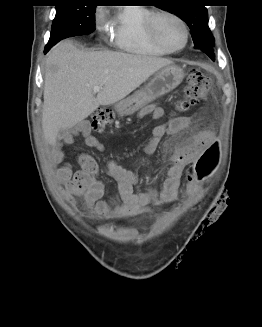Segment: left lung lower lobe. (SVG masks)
Here are the masks:
<instances>
[{
	"instance_id": "0a47b994",
	"label": "left lung lower lobe",
	"mask_w": 262,
	"mask_h": 327,
	"mask_svg": "<svg viewBox=\"0 0 262 327\" xmlns=\"http://www.w3.org/2000/svg\"><path fill=\"white\" fill-rule=\"evenodd\" d=\"M200 50L205 52L212 60H215L214 47H206V48H203V49H200Z\"/></svg>"
}]
</instances>
